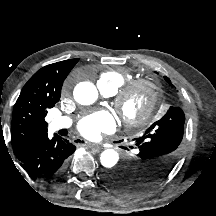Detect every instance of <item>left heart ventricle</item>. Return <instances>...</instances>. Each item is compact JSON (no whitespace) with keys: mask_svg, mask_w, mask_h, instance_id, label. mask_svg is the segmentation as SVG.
I'll list each match as a JSON object with an SVG mask.
<instances>
[{"mask_svg":"<svg viewBox=\"0 0 216 216\" xmlns=\"http://www.w3.org/2000/svg\"><path fill=\"white\" fill-rule=\"evenodd\" d=\"M146 93L143 90L134 92L126 101L125 110L128 113L138 112L144 105Z\"/></svg>","mask_w":216,"mask_h":216,"instance_id":"left-heart-ventricle-1","label":"left heart ventricle"}]
</instances>
